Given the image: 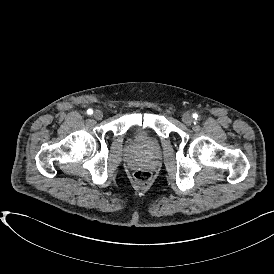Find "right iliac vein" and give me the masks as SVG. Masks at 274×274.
I'll list each match as a JSON object with an SVG mask.
<instances>
[{
    "mask_svg": "<svg viewBox=\"0 0 274 274\" xmlns=\"http://www.w3.org/2000/svg\"><path fill=\"white\" fill-rule=\"evenodd\" d=\"M93 116L96 120H101L103 118V112L101 110H95Z\"/></svg>",
    "mask_w": 274,
    "mask_h": 274,
    "instance_id": "1",
    "label": "right iliac vein"
}]
</instances>
